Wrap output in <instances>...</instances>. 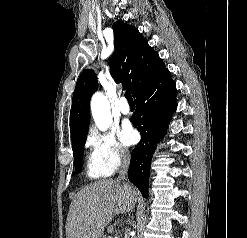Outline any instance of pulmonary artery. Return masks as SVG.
<instances>
[{"label":"pulmonary artery","mask_w":247,"mask_h":238,"mask_svg":"<svg viewBox=\"0 0 247 238\" xmlns=\"http://www.w3.org/2000/svg\"><path fill=\"white\" fill-rule=\"evenodd\" d=\"M118 109H119V112H121L124 115H127L130 113V107L124 97L120 98Z\"/></svg>","instance_id":"obj_1"}]
</instances>
